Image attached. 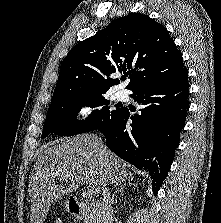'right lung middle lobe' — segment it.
<instances>
[{"label": "right lung middle lobe", "mask_w": 221, "mask_h": 223, "mask_svg": "<svg viewBox=\"0 0 221 223\" xmlns=\"http://www.w3.org/2000/svg\"><path fill=\"white\" fill-rule=\"evenodd\" d=\"M106 93L80 94L51 102L43 126L42 138L50 133L60 136H72L96 130L113 117L122 108H112L105 98ZM84 106L97 107L85 120L77 121L76 115Z\"/></svg>", "instance_id": "1"}]
</instances>
